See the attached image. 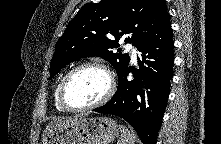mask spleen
I'll use <instances>...</instances> for the list:
<instances>
[{
	"instance_id": "spleen-1",
	"label": "spleen",
	"mask_w": 221,
	"mask_h": 144,
	"mask_svg": "<svg viewBox=\"0 0 221 144\" xmlns=\"http://www.w3.org/2000/svg\"><path fill=\"white\" fill-rule=\"evenodd\" d=\"M120 139L118 144H134V135L124 126H120Z\"/></svg>"
}]
</instances>
